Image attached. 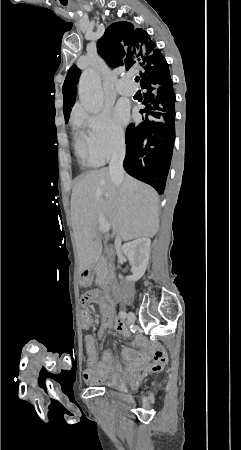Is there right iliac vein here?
Instances as JSON below:
<instances>
[{
	"label": "right iliac vein",
	"instance_id": "right-iliac-vein-1",
	"mask_svg": "<svg viewBox=\"0 0 241 450\" xmlns=\"http://www.w3.org/2000/svg\"><path fill=\"white\" fill-rule=\"evenodd\" d=\"M127 321L130 325L135 322V315L132 312L128 314Z\"/></svg>",
	"mask_w": 241,
	"mask_h": 450
}]
</instances>
